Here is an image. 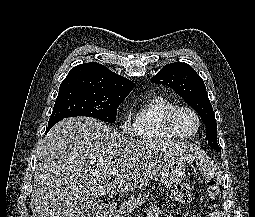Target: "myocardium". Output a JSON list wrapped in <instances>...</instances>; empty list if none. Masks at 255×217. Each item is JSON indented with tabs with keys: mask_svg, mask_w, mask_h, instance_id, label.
Returning <instances> with one entry per match:
<instances>
[{
	"mask_svg": "<svg viewBox=\"0 0 255 217\" xmlns=\"http://www.w3.org/2000/svg\"><path fill=\"white\" fill-rule=\"evenodd\" d=\"M181 112H188L191 115L194 116L197 122V126L194 132L192 133H186L182 130L178 123V117ZM167 122L170 127V129L177 134L180 138H192L198 134L201 128V118L200 115L196 110L189 106H184V105H176L173 107L169 113L167 114Z\"/></svg>",
	"mask_w": 255,
	"mask_h": 217,
	"instance_id": "f54148a6",
	"label": "myocardium"
}]
</instances>
